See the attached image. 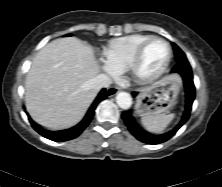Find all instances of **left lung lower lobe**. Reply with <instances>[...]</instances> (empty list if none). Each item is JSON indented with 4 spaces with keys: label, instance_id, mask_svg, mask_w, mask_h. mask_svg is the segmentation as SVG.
<instances>
[{
    "label": "left lung lower lobe",
    "instance_id": "left-lung-lower-lobe-1",
    "mask_svg": "<svg viewBox=\"0 0 222 187\" xmlns=\"http://www.w3.org/2000/svg\"><path fill=\"white\" fill-rule=\"evenodd\" d=\"M172 73H178L182 76L185 87V109L178 124L169 132L161 135H153L142 130L132 115V110L122 113V118L125 125L128 127L131 134L139 141L146 144H159L169 140L182 127L190 117L192 104L195 99V86L193 83V74L189 62H178L172 69ZM135 97L136 92L132 93Z\"/></svg>",
    "mask_w": 222,
    "mask_h": 187
}]
</instances>
